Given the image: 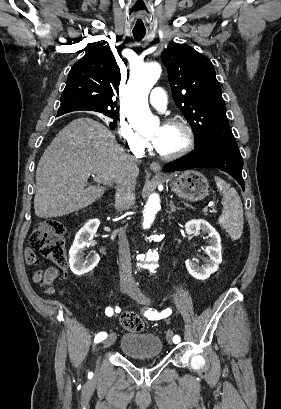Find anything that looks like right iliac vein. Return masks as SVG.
Returning a JSON list of instances; mask_svg holds the SVG:
<instances>
[{"label":"right iliac vein","instance_id":"63e3f726","mask_svg":"<svg viewBox=\"0 0 281 409\" xmlns=\"http://www.w3.org/2000/svg\"><path fill=\"white\" fill-rule=\"evenodd\" d=\"M120 287L122 291H127V289L129 288V284L125 281H121ZM115 340H116V335L111 334L106 340L103 341V349H106L110 347L111 345H113Z\"/></svg>","mask_w":281,"mask_h":409}]
</instances>
